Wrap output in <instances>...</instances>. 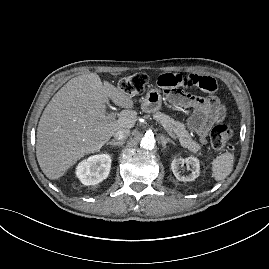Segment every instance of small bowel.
<instances>
[{
	"mask_svg": "<svg viewBox=\"0 0 269 269\" xmlns=\"http://www.w3.org/2000/svg\"><path fill=\"white\" fill-rule=\"evenodd\" d=\"M158 84L166 89L178 87H199L202 89L203 98L174 90L171 98L175 103L188 105L194 108V114L190 119V127L205 141L209 129L216 123L223 121L225 108L215 97L217 86L209 75H179L175 73L162 74L158 78Z\"/></svg>",
	"mask_w": 269,
	"mask_h": 269,
	"instance_id": "1",
	"label": "small bowel"
}]
</instances>
